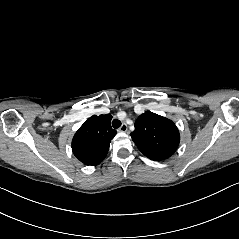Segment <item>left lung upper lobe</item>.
Segmentation results:
<instances>
[{"instance_id": "left-lung-upper-lobe-1", "label": "left lung upper lobe", "mask_w": 239, "mask_h": 239, "mask_svg": "<svg viewBox=\"0 0 239 239\" xmlns=\"http://www.w3.org/2000/svg\"><path fill=\"white\" fill-rule=\"evenodd\" d=\"M132 140L147 158L167 159L175 153L180 142L176 125L169 119L146 111L135 122Z\"/></svg>"}]
</instances>
